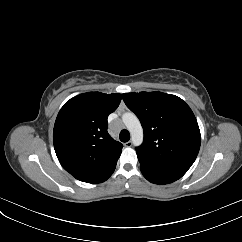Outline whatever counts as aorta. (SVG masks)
Here are the masks:
<instances>
[{"label": "aorta", "instance_id": "aorta-1", "mask_svg": "<svg viewBox=\"0 0 242 242\" xmlns=\"http://www.w3.org/2000/svg\"><path fill=\"white\" fill-rule=\"evenodd\" d=\"M122 121L130 132L134 146L141 145L143 142V128L137 116L128 112L123 114Z\"/></svg>", "mask_w": 242, "mask_h": 242}]
</instances>
